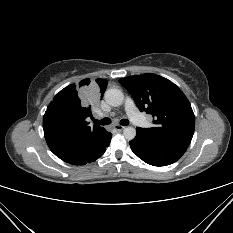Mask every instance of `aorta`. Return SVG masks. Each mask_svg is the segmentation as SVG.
<instances>
[{"instance_id":"1","label":"aorta","mask_w":233,"mask_h":233,"mask_svg":"<svg viewBox=\"0 0 233 233\" xmlns=\"http://www.w3.org/2000/svg\"><path fill=\"white\" fill-rule=\"evenodd\" d=\"M105 101L113 107L122 105L124 101V95L119 89H108L104 95ZM123 135L127 140H132L136 136V129L134 127H126L123 130Z\"/></svg>"}]
</instances>
